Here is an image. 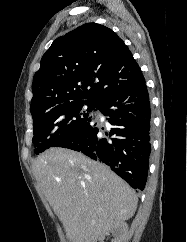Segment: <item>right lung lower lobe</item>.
<instances>
[{"instance_id": "98d812e1", "label": "right lung lower lobe", "mask_w": 187, "mask_h": 242, "mask_svg": "<svg viewBox=\"0 0 187 242\" xmlns=\"http://www.w3.org/2000/svg\"><path fill=\"white\" fill-rule=\"evenodd\" d=\"M95 108L108 117L109 128L89 117L52 147L82 152L108 165L134 189L143 190L151 153V109L145 82L104 98Z\"/></svg>"}]
</instances>
